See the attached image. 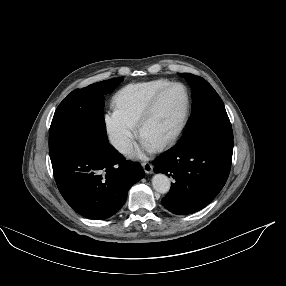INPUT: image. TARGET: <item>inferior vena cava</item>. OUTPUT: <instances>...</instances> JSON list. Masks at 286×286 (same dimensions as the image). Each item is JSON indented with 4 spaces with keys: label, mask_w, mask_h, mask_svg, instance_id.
I'll return each mask as SVG.
<instances>
[{
    "label": "inferior vena cava",
    "mask_w": 286,
    "mask_h": 286,
    "mask_svg": "<svg viewBox=\"0 0 286 286\" xmlns=\"http://www.w3.org/2000/svg\"><path fill=\"white\" fill-rule=\"evenodd\" d=\"M115 142H116L117 147H119L120 149L124 151H127L130 140L127 136L120 135L116 138Z\"/></svg>",
    "instance_id": "inferior-vena-cava-1"
}]
</instances>
